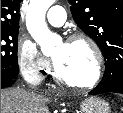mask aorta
<instances>
[{
  "label": "aorta",
  "mask_w": 123,
  "mask_h": 113,
  "mask_svg": "<svg viewBox=\"0 0 123 113\" xmlns=\"http://www.w3.org/2000/svg\"><path fill=\"white\" fill-rule=\"evenodd\" d=\"M54 0H30L26 14V26L44 55L53 53L60 37L52 33L45 22V15Z\"/></svg>",
  "instance_id": "1"
}]
</instances>
